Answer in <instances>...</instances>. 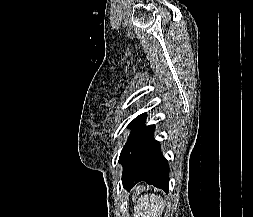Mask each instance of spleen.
Here are the masks:
<instances>
[{
	"instance_id": "3e777b00",
	"label": "spleen",
	"mask_w": 253,
	"mask_h": 217,
	"mask_svg": "<svg viewBox=\"0 0 253 217\" xmlns=\"http://www.w3.org/2000/svg\"><path fill=\"white\" fill-rule=\"evenodd\" d=\"M134 217H160L164 211V202L154 194L141 196L134 207Z\"/></svg>"
}]
</instances>
